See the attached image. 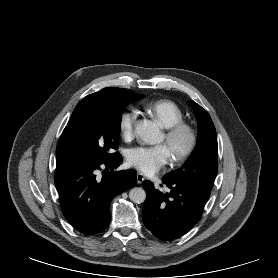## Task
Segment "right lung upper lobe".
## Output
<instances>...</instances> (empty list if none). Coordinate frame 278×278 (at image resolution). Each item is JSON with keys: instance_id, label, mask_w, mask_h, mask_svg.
<instances>
[{"instance_id": "cb5924a9", "label": "right lung upper lobe", "mask_w": 278, "mask_h": 278, "mask_svg": "<svg viewBox=\"0 0 278 278\" xmlns=\"http://www.w3.org/2000/svg\"><path fill=\"white\" fill-rule=\"evenodd\" d=\"M136 93H133L132 91L128 89H122V88H113V87H107L102 89L99 92L90 94L86 96L85 98H94L98 100H113L115 98L120 97H133Z\"/></svg>"}]
</instances>
